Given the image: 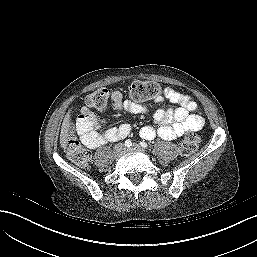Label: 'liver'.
Listing matches in <instances>:
<instances>
[{
  "instance_id": "6515ba94",
  "label": "liver",
  "mask_w": 257,
  "mask_h": 257,
  "mask_svg": "<svg viewBox=\"0 0 257 257\" xmlns=\"http://www.w3.org/2000/svg\"><path fill=\"white\" fill-rule=\"evenodd\" d=\"M71 110L68 111V113L65 115L62 127H61V133H60V144L62 148H66L68 143V131L70 127V117H71Z\"/></svg>"
}]
</instances>
